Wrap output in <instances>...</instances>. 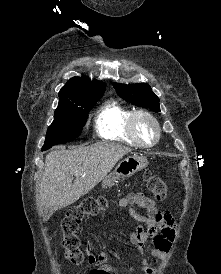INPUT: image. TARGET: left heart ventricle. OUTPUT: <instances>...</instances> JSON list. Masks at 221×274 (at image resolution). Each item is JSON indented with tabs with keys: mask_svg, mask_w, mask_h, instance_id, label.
Segmentation results:
<instances>
[{
	"mask_svg": "<svg viewBox=\"0 0 221 274\" xmlns=\"http://www.w3.org/2000/svg\"><path fill=\"white\" fill-rule=\"evenodd\" d=\"M138 133L140 138L146 143H152L155 139V129L152 123L146 119L138 122Z\"/></svg>",
	"mask_w": 221,
	"mask_h": 274,
	"instance_id": "obj_1",
	"label": "left heart ventricle"
}]
</instances>
